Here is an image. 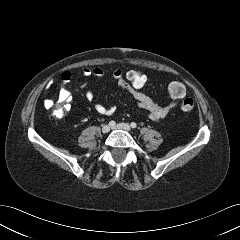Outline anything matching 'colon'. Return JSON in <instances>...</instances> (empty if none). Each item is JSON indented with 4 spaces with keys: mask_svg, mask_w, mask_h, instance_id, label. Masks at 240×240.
Here are the masks:
<instances>
[{
    "mask_svg": "<svg viewBox=\"0 0 240 240\" xmlns=\"http://www.w3.org/2000/svg\"><path fill=\"white\" fill-rule=\"evenodd\" d=\"M68 79V78H65ZM125 79L127 83L135 90L143 92L148 84V77L144 71L139 68H130L125 71ZM167 95L170 99L181 101V109L185 112L191 111L195 107V101L191 97H185L186 87L180 81H173L167 85ZM65 90H61L54 109V115L63 116L68 110V101L65 96Z\"/></svg>",
    "mask_w": 240,
    "mask_h": 240,
    "instance_id": "obj_1",
    "label": "colon"
}]
</instances>
